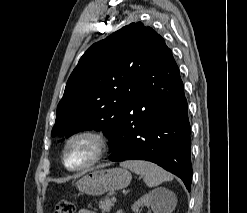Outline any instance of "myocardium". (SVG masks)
I'll list each match as a JSON object with an SVG mask.
<instances>
[{"label": "myocardium", "mask_w": 247, "mask_h": 213, "mask_svg": "<svg viewBox=\"0 0 247 213\" xmlns=\"http://www.w3.org/2000/svg\"><path fill=\"white\" fill-rule=\"evenodd\" d=\"M80 138L90 139L95 145V151L92 158L85 164L79 167H70L66 162V153L67 149L71 143ZM109 148V141L105 134L100 131L85 129L79 130L71 134L65 141L62 149L61 161L63 166L71 172H81L87 169L92 168L96 164H98L106 155Z\"/></svg>", "instance_id": "myocardium-1"}]
</instances>
